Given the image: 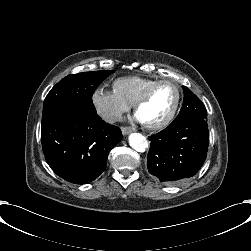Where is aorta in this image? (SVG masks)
<instances>
[{
	"label": "aorta",
	"mask_w": 251,
	"mask_h": 251,
	"mask_svg": "<svg viewBox=\"0 0 251 251\" xmlns=\"http://www.w3.org/2000/svg\"><path fill=\"white\" fill-rule=\"evenodd\" d=\"M129 145L136 151H144L148 147L145 136L141 133H131L128 138Z\"/></svg>",
	"instance_id": "762f6f07"
}]
</instances>
